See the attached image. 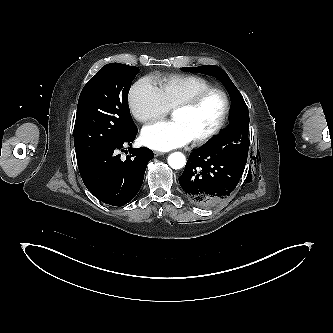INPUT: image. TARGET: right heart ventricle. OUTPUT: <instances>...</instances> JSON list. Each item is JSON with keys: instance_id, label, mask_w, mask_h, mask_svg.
Returning a JSON list of instances; mask_svg holds the SVG:
<instances>
[{"instance_id": "obj_1", "label": "right heart ventricle", "mask_w": 333, "mask_h": 333, "mask_svg": "<svg viewBox=\"0 0 333 333\" xmlns=\"http://www.w3.org/2000/svg\"><path fill=\"white\" fill-rule=\"evenodd\" d=\"M210 87H212L211 82L204 77L174 74L161 78L158 81L157 88L170 110L198 92Z\"/></svg>"}]
</instances>
